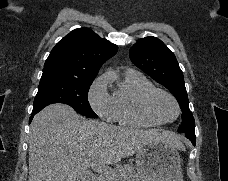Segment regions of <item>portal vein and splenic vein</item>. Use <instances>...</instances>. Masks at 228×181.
<instances>
[{
  "mask_svg": "<svg viewBox=\"0 0 228 181\" xmlns=\"http://www.w3.org/2000/svg\"><path fill=\"white\" fill-rule=\"evenodd\" d=\"M85 167H92L95 173L100 175V177H103V175H112V177H116V175H113L114 169H111L108 165H99L96 161H89V165H85ZM112 177H110V179H112Z\"/></svg>",
  "mask_w": 228,
  "mask_h": 181,
  "instance_id": "18ae733b",
  "label": "portal vein and splenic vein"
}]
</instances>
